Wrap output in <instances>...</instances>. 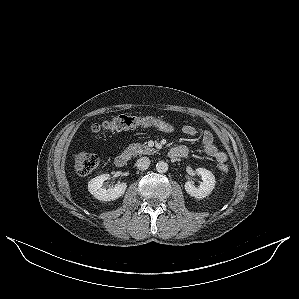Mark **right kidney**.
<instances>
[{
	"label": "right kidney",
	"mask_w": 299,
	"mask_h": 299,
	"mask_svg": "<svg viewBox=\"0 0 299 299\" xmlns=\"http://www.w3.org/2000/svg\"><path fill=\"white\" fill-rule=\"evenodd\" d=\"M110 178L109 174H102L93 179L88 183V191L100 201H111L121 197L127 188V184L117 183L114 187L106 189L103 187V182Z\"/></svg>",
	"instance_id": "right-kidney-1"
}]
</instances>
